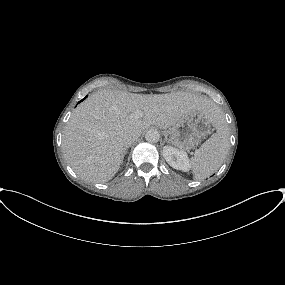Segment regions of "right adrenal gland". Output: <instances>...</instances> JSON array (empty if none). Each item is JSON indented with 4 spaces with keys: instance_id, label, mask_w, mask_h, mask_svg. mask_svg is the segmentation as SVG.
I'll return each mask as SVG.
<instances>
[{
    "instance_id": "1",
    "label": "right adrenal gland",
    "mask_w": 285,
    "mask_h": 285,
    "mask_svg": "<svg viewBox=\"0 0 285 285\" xmlns=\"http://www.w3.org/2000/svg\"><path fill=\"white\" fill-rule=\"evenodd\" d=\"M127 149H128V147H126V148L124 149V152H123V154H122V161H123V159H124V156H125L126 153H127Z\"/></svg>"
}]
</instances>
